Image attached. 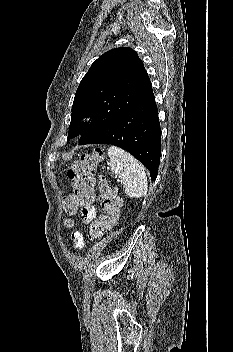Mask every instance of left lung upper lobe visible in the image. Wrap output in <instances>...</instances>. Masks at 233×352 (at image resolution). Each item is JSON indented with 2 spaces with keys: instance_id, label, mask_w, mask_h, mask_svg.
<instances>
[{
  "instance_id": "5c2ea615",
  "label": "left lung upper lobe",
  "mask_w": 233,
  "mask_h": 352,
  "mask_svg": "<svg viewBox=\"0 0 233 352\" xmlns=\"http://www.w3.org/2000/svg\"><path fill=\"white\" fill-rule=\"evenodd\" d=\"M152 93L149 76L134 50L107 51L95 60L77 88L68 138L81 134L79 144L91 143ZM84 117L92 119L87 126L80 125Z\"/></svg>"
}]
</instances>
